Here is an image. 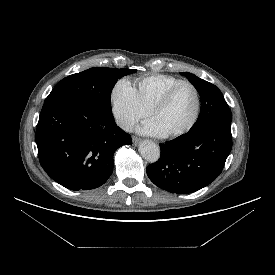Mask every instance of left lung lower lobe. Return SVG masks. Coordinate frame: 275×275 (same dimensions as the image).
Returning a JSON list of instances; mask_svg holds the SVG:
<instances>
[{
    "instance_id": "left-lung-lower-lobe-1",
    "label": "left lung lower lobe",
    "mask_w": 275,
    "mask_h": 275,
    "mask_svg": "<svg viewBox=\"0 0 275 275\" xmlns=\"http://www.w3.org/2000/svg\"><path fill=\"white\" fill-rule=\"evenodd\" d=\"M160 148L159 160L146 168L150 180L172 193L195 192L222 172L232 148L231 125L196 128Z\"/></svg>"
}]
</instances>
